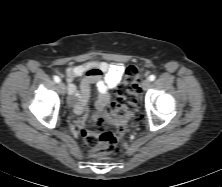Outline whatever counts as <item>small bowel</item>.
Wrapping results in <instances>:
<instances>
[{
    "label": "small bowel",
    "mask_w": 222,
    "mask_h": 187,
    "mask_svg": "<svg viewBox=\"0 0 222 187\" xmlns=\"http://www.w3.org/2000/svg\"><path fill=\"white\" fill-rule=\"evenodd\" d=\"M124 66L120 63H108L105 61H90L81 65L70 66L66 69L68 93L74 113L81 115L89 100L91 85H95L98 92L95 107L102 112L110 100V92L122 79ZM80 77L79 88L73 83ZM80 124L84 119H80Z\"/></svg>",
    "instance_id": "obj_1"
}]
</instances>
